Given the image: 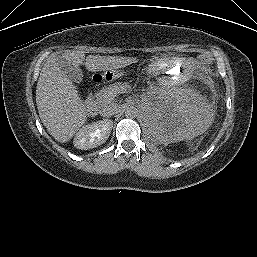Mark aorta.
<instances>
[{
  "instance_id": "1",
  "label": "aorta",
  "mask_w": 257,
  "mask_h": 257,
  "mask_svg": "<svg viewBox=\"0 0 257 257\" xmlns=\"http://www.w3.org/2000/svg\"><path fill=\"white\" fill-rule=\"evenodd\" d=\"M138 115V109L135 106H127L125 108V116L127 118H135Z\"/></svg>"
}]
</instances>
